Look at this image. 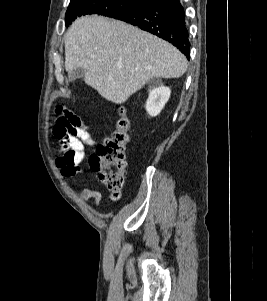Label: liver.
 <instances>
[{"instance_id": "1", "label": "liver", "mask_w": 267, "mask_h": 301, "mask_svg": "<svg viewBox=\"0 0 267 301\" xmlns=\"http://www.w3.org/2000/svg\"><path fill=\"white\" fill-rule=\"evenodd\" d=\"M186 57L170 43L122 21L91 15L76 19L65 35V68H81L84 82L122 104L153 78H179Z\"/></svg>"}]
</instances>
